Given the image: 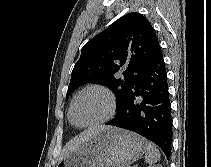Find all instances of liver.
<instances>
[{
    "label": "liver",
    "mask_w": 211,
    "mask_h": 167,
    "mask_svg": "<svg viewBox=\"0 0 211 167\" xmlns=\"http://www.w3.org/2000/svg\"><path fill=\"white\" fill-rule=\"evenodd\" d=\"M109 128L108 126H96L93 128H89L81 133L79 136L75 137L73 140L68 142L65 148L62 151V158L70 153L71 151L75 150L76 148L80 147L83 143H85L92 135L96 134L99 131L105 130Z\"/></svg>",
    "instance_id": "obj_1"
}]
</instances>
